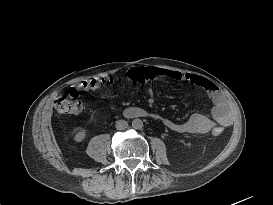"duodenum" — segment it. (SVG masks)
<instances>
[{
    "label": "duodenum",
    "mask_w": 273,
    "mask_h": 205,
    "mask_svg": "<svg viewBox=\"0 0 273 205\" xmlns=\"http://www.w3.org/2000/svg\"><path fill=\"white\" fill-rule=\"evenodd\" d=\"M125 113L129 115V111H128V110H125ZM141 115H142V113L138 112V113H137L136 115H134V116H141Z\"/></svg>",
    "instance_id": "duodenum-1"
}]
</instances>
